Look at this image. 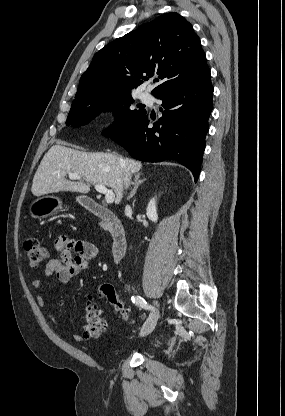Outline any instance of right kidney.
<instances>
[{
	"instance_id": "1",
	"label": "right kidney",
	"mask_w": 285,
	"mask_h": 416,
	"mask_svg": "<svg viewBox=\"0 0 285 416\" xmlns=\"http://www.w3.org/2000/svg\"><path fill=\"white\" fill-rule=\"evenodd\" d=\"M146 216L147 218H149V220H151V222H157L158 214H157L155 198H152V200H150L147 206Z\"/></svg>"
}]
</instances>
